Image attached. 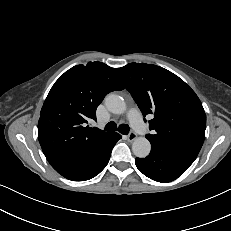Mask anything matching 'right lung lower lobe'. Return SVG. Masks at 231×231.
<instances>
[{
  "instance_id": "1",
  "label": "right lung lower lobe",
  "mask_w": 231,
  "mask_h": 231,
  "mask_svg": "<svg viewBox=\"0 0 231 231\" xmlns=\"http://www.w3.org/2000/svg\"><path fill=\"white\" fill-rule=\"evenodd\" d=\"M121 138L113 132L91 154L56 171L73 181H85L98 175L108 164L112 148Z\"/></svg>"
}]
</instances>
